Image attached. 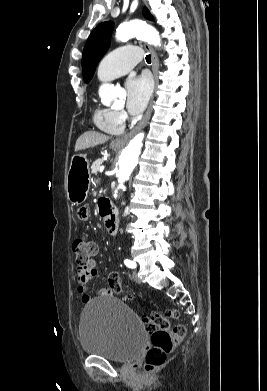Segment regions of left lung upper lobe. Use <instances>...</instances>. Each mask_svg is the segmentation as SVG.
<instances>
[{
    "mask_svg": "<svg viewBox=\"0 0 267 391\" xmlns=\"http://www.w3.org/2000/svg\"><path fill=\"white\" fill-rule=\"evenodd\" d=\"M144 16L147 19H152L147 9H144ZM113 28L112 22H103L90 34L82 55V73L85 82L92 79L99 60L107 51Z\"/></svg>",
    "mask_w": 267,
    "mask_h": 391,
    "instance_id": "left-lung-upper-lobe-1",
    "label": "left lung upper lobe"
}]
</instances>
